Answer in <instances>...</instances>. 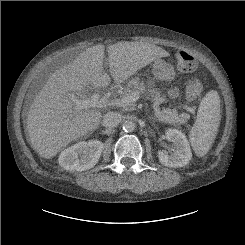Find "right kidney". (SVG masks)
<instances>
[{"instance_id":"ca27d5eb","label":"right kidney","mask_w":245,"mask_h":245,"mask_svg":"<svg viewBox=\"0 0 245 245\" xmlns=\"http://www.w3.org/2000/svg\"><path fill=\"white\" fill-rule=\"evenodd\" d=\"M104 144L98 140L79 142L64 149L59 156V165L68 171H85L96 165Z\"/></svg>"}]
</instances>
